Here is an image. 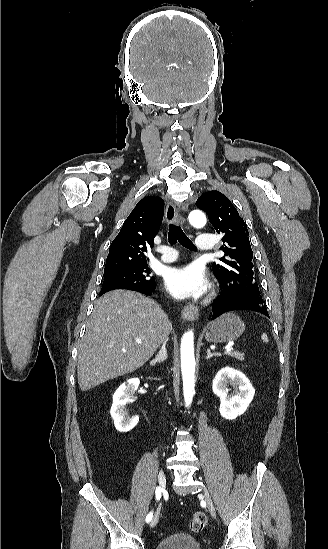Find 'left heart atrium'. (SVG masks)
<instances>
[{
  "label": "left heart atrium",
  "mask_w": 328,
  "mask_h": 549,
  "mask_svg": "<svg viewBox=\"0 0 328 549\" xmlns=\"http://www.w3.org/2000/svg\"><path fill=\"white\" fill-rule=\"evenodd\" d=\"M165 286L174 297L182 299L203 295L209 282L204 267L192 263L171 269L165 277Z\"/></svg>",
  "instance_id": "obj_1"
}]
</instances>
